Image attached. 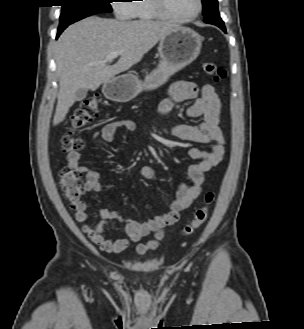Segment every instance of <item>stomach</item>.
Wrapping results in <instances>:
<instances>
[{"mask_svg": "<svg viewBox=\"0 0 304 329\" xmlns=\"http://www.w3.org/2000/svg\"><path fill=\"white\" fill-rule=\"evenodd\" d=\"M202 37L188 27H176L159 43L161 60L158 66L140 81L133 74H124L104 83V96L116 102H128L143 90L156 89L163 85L171 75L181 70L199 55Z\"/></svg>", "mask_w": 304, "mask_h": 329, "instance_id": "stomach-1", "label": "stomach"}]
</instances>
